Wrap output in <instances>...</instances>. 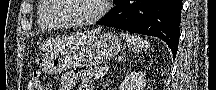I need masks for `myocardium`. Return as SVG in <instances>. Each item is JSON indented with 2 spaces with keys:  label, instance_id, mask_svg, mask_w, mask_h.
I'll return each mask as SVG.
<instances>
[{
  "label": "myocardium",
  "instance_id": "obj_1",
  "mask_svg": "<svg viewBox=\"0 0 216 90\" xmlns=\"http://www.w3.org/2000/svg\"><path fill=\"white\" fill-rule=\"evenodd\" d=\"M52 3H56L57 8H55V11H53V14H49L50 21L54 22L55 24H58L59 26L67 29H78V28H84L87 26H90L97 21H99L107 12V0H96L98 3H101L99 11L92 17L79 21L78 23H70L65 20H63L61 17L58 15H63V12L66 11L68 8L66 0H51Z\"/></svg>",
  "mask_w": 216,
  "mask_h": 90
}]
</instances>
